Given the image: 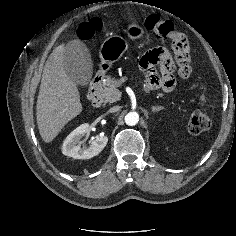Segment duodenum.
<instances>
[{
    "mask_svg": "<svg viewBox=\"0 0 236 236\" xmlns=\"http://www.w3.org/2000/svg\"><path fill=\"white\" fill-rule=\"evenodd\" d=\"M101 80H102V76L98 75L92 80L90 84V88L88 92V99L90 103L92 104V106L94 107H98L101 105V96L98 90Z\"/></svg>",
    "mask_w": 236,
    "mask_h": 236,
    "instance_id": "duodenum-1",
    "label": "duodenum"
}]
</instances>
